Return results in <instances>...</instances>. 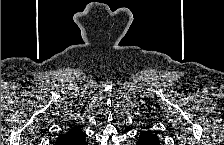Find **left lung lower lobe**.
<instances>
[{
  "label": "left lung lower lobe",
  "instance_id": "1",
  "mask_svg": "<svg viewBox=\"0 0 224 145\" xmlns=\"http://www.w3.org/2000/svg\"><path fill=\"white\" fill-rule=\"evenodd\" d=\"M137 145H159V138L145 131L140 134Z\"/></svg>",
  "mask_w": 224,
  "mask_h": 145
}]
</instances>
